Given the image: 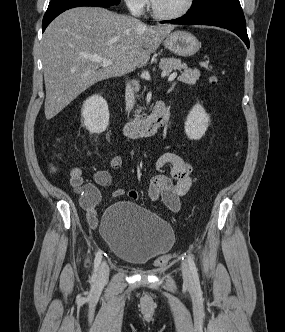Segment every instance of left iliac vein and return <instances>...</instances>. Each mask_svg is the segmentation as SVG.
Wrapping results in <instances>:
<instances>
[{
	"mask_svg": "<svg viewBox=\"0 0 285 332\" xmlns=\"http://www.w3.org/2000/svg\"><path fill=\"white\" fill-rule=\"evenodd\" d=\"M183 280L186 284L191 285L193 283L192 275L190 268L186 262H183L181 265Z\"/></svg>",
	"mask_w": 285,
	"mask_h": 332,
	"instance_id": "4c4485c4",
	"label": "left iliac vein"
}]
</instances>
